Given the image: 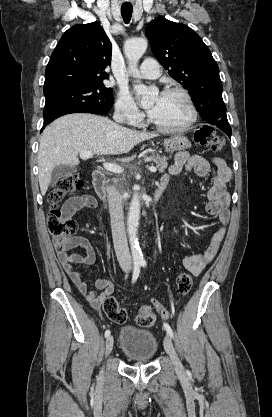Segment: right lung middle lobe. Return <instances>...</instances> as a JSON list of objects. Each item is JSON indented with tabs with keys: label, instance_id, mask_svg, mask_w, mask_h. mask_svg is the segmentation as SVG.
Listing matches in <instances>:
<instances>
[{
	"label": "right lung middle lobe",
	"instance_id": "1",
	"mask_svg": "<svg viewBox=\"0 0 272 417\" xmlns=\"http://www.w3.org/2000/svg\"><path fill=\"white\" fill-rule=\"evenodd\" d=\"M44 95V122L57 114L76 108H90L106 114L114 103L112 89L103 84L58 87L44 91Z\"/></svg>",
	"mask_w": 272,
	"mask_h": 417
}]
</instances>
